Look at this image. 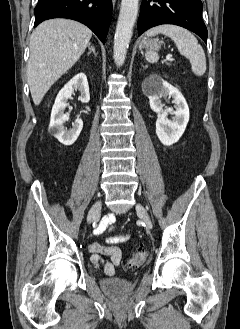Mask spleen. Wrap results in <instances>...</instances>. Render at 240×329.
Segmentation results:
<instances>
[{"mask_svg":"<svg viewBox=\"0 0 240 329\" xmlns=\"http://www.w3.org/2000/svg\"><path fill=\"white\" fill-rule=\"evenodd\" d=\"M163 34L170 37L176 44L181 55L189 59L192 72L196 76H202L206 71V57L203 48L198 44L195 36L188 30L170 24L160 25L149 29L147 36ZM145 58L150 63L158 61L159 56L155 52H147Z\"/></svg>","mask_w":240,"mask_h":329,"instance_id":"obj_1","label":"spleen"}]
</instances>
